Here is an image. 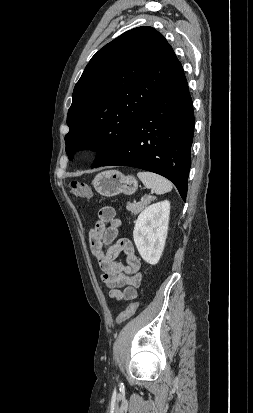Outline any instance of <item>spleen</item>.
<instances>
[{"mask_svg":"<svg viewBox=\"0 0 253 413\" xmlns=\"http://www.w3.org/2000/svg\"><path fill=\"white\" fill-rule=\"evenodd\" d=\"M137 176L146 188L153 189L158 195L172 190L171 182L163 176L148 171H140Z\"/></svg>","mask_w":253,"mask_h":413,"instance_id":"obj_1","label":"spleen"}]
</instances>
